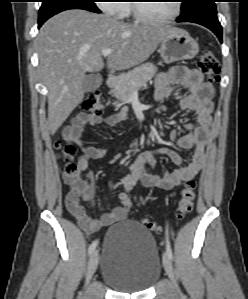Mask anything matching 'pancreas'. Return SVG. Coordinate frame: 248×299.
Returning <instances> with one entry per match:
<instances>
[{"label": "pancreas", "mask_w": 248, "mask_h": 299, "mask_svg": "<svg viewBox=\"0 0 248 299\" xmlns=\"http://www.w3.org/2000/svg\"><path fill=\"white\" fill-rule=\"evenodd\" d=\"M157 72V67L152 63H145L135 67L132 71L123 73L118 77V82L110 91L117 101L113 103L116 108L122 106L121 102L128 101L132 93L146 86V83L154 77ZM122 113L128 111V107L124 106L121 109Z\"/></svg>", "instance_id": "cf45deb5"}]
</instances>
